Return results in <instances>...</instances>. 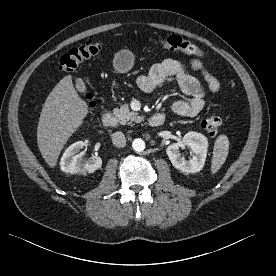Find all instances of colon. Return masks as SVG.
Listing matches in <instances>:
<instances>
[{"mask_svg":"<svg viewBox=\"0 0 276 276\" xmlns=\"http://www.w3.org/2000/svg\"><path fill=\"white\" fill-rule=\"evenodd\" d=\"M147 38L152 39L150 35H147ZM154 42L164 50L178 51L193 57L204 55L201 48L179 35L160 37L155 39ZM101 51V42L88 41L64 54L59 61V69L61 72H73L81 62L95 57ZM85 98L90 106L94 105V97L91 93H86ZM201 126L210 136H216L223 126V120L217 113H214L206 117Z\"/></svg>","mask_w":276,"mask_h":276,"instance_id":"1","label":"colon"}]
</instances>
